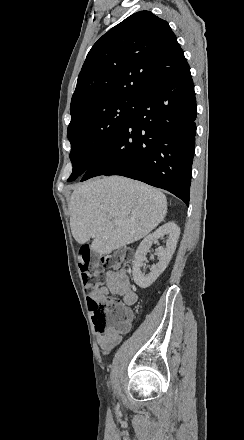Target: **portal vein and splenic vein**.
I'll list each match as a JSON object with an SVG mask.
<instances>
[{
    "instance_id": "portal-vein-and-splenic-vein-1",
    "label": "portal vein and splenic vein",
    "mask_w": 244,
    "mask_h": 440,
    "mask_svg": "<svg viewBox=\"0 0 244 440\" xmlns=\"http://www.w3.org/2000/svg\"><path fill=\"white\" fill-rule=\"evenodd\" d=\"M109 220H111V218H109ZM113 222L115 226H123V224H126L128 220H122V218H114Z\"/></svg>"
}]
</instances>
